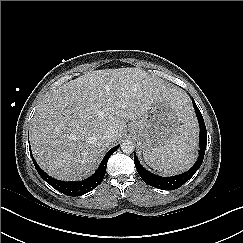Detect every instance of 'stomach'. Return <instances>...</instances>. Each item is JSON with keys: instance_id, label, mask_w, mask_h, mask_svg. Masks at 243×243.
<instances>
[{"instance_id": "stomach-1", "label": "stomach", "mask_w": 243, "mask_h": 243, "mask_svg": "<svg viewBox=\"0 0 243 243\" xmlns=\"http://www.w3.org/2000/svg\"><path fill=\"white\" fill-rule=\"evenodd\" d=\"M179 127L176 108L171 102L160 100L144 116L129 124V132L144 154H152L169 144Z\"/></svg>"}]
</instances>
